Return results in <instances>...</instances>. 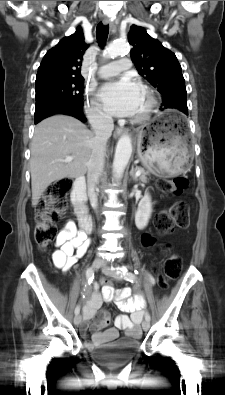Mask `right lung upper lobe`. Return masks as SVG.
<instances>
[{"instance_id":"cb5924a9","label":"right lung upper lobe","mask_w":225,"mask_h":395,"mask_svg":"<svg viewBox=\"0 0 225 395\" xmlns=\"http://www.w3.org/2000/svg\"><path fill=\"white\" fill-rule=\"evenodd\" d=\"M88 47L83 31L78 27L74 34L63 38L46 53L38 68L36 85L58 80H82V57Z\"/></svg>"}]
</instances>
